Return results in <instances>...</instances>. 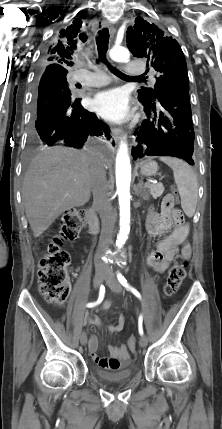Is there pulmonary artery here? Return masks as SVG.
Masks as SVG:
<instances>
[{
	"instance_id": "1",
	"label": "pulmonary artery",
	"mask_w": 222,
	"mask_h": 429,
	"mask_svg": "<svg viewBox=\"0 0 222 429\" xmlns=\"http://www.w3.org/2000/svg\"><path fill=\"white\" fill-rule=\"evenodd\" d=\"M92 68L95 69V73L89 72L87 69L84 68L83 65H81L77 71L78 81L90 87H100L109 82V78L107 75H105L95 67ZM126 69L127 73L131 76H140L145 73V68L143 66H140L137 62H129L126 65ZM84 74H89V77H84Z\"/></svg>"
}]
</instances>
